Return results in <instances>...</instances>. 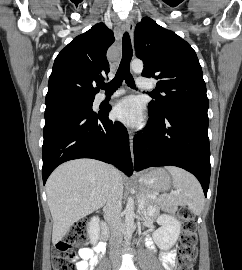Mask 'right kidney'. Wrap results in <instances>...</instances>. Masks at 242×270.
Listing matches in <instances>:
<instances>
[{"label": "right kidney", "mask_w": 242, "mask_h": 270, "mask_svg": "<svg viewBox=\"0 0 242 270\" xmlns=\"http://www.w3.org/2000/svg\"><path fill=\"white\" fill-rule=\"evenodd\" d=\"M87 231H88V235H89L91 243L95 244L98 241L99 232H100L98 217L91 218L90 222L88 223Z\"/></svg>", "instance_id": "ca27d5eb"}]
</instances>
